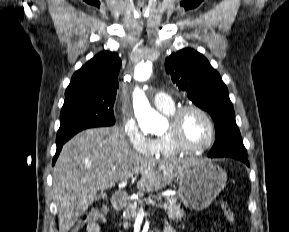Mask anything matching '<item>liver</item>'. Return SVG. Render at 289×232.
Wrapping results in <instances>:
<instances>
[{"label": "liver", "mask_w": 289, "mask_h": 232, "mask_svg": "<svg viewBox=\"0 0 289 232\" xmlns=\"http://www.w3.org/2000/svg\"><path fill=\"white\" fill-rule=\"evenodd\" d=\"M191 160L154 159L133 151L117 126L87 129L64 144L53 168L52 195L59 232H68L96 199L97 192L141 175L137 188L159 191Z\"/></svg>", "instance_id": "obj_1"}]
</instances>
